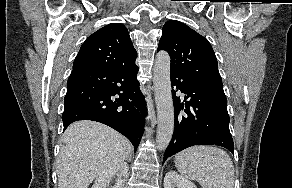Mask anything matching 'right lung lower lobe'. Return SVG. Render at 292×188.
<instances>
[{
	"label": "right lung lower lobe",
	"instance_id": "1",
	"mask_svg": "<svg viewBox=\"0 0 292 188\" xmlns=\"http://www.w3.org/2000/svg\"><path fill=\"white\" fill-rule=\"evenodd\" d=\"M138 66L74 68L67 82L64 130L77 120L101 122L126 136L136 151L147 114L137 80Z\"/></svg>",
	"mask_w": 292,
	"mask_h": 188
}]
</instances>
